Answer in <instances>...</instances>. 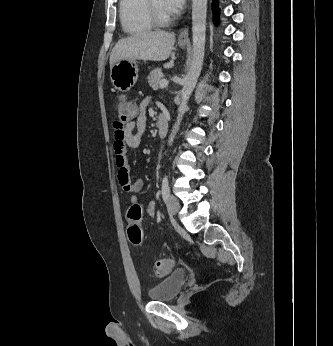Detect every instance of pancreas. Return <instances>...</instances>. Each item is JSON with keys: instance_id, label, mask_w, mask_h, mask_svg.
I'll return each instance as SVG.
<instances>
[{"instance_id": "1", "label": "pancreas", "mask_w": 333, "mask_h": 346, "mask_svg": "<svg viewBox=\"0 0 333 346\" xmlns=\"http://www.w3.org/2000/svg\"><path fill=\"white\" fill-rule=\"evenodd\" d=\"M163 76L161 68H156L150 72L147 77L149 85L155 90L160 87L161 78Z\"/></svg>"}]
</instances>
